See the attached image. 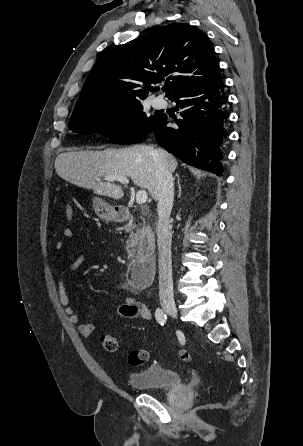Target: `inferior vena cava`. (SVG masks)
Instances as JSON below:
<instances>
[{
	"label": "inferior vena cava",
	"instance_id": "1",
	"mask_svg": "<svg viewBox=\"0 0 303 446\" xmlns=\"http://www.w3.org/2000/svg\"><path fill=\"white\" fill-rule=\"evenodd\" d=\"M156 179L158 196L157 243L159 251V297L161 302H174L172 259H171V227L170 213L174 200V184L171 171L156 159Z\"/></svg>",
	"mask_w": 303,
	"mask_h": 446
}]
</instances>
